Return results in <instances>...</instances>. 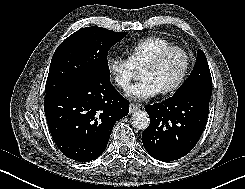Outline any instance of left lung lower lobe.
<instances>
[{
  "instance_id": "obj_1",
  "label": "left lung lower lobe",
  "mask_w": 245,
  "mask_h": 189,
  "mask_svg": "<svg viewBox=\"0 0 245 189\" xmlns=\"http://www.w3.org/2000/svg\"><path fill=\"white\" fill-rule=\"evenodd\" d=\"M210 98L187 92L146 106L150 125L142 134V143L148 154L160 161H173L188 154L205 128Z\"/></svg>"
}]
</instances>
